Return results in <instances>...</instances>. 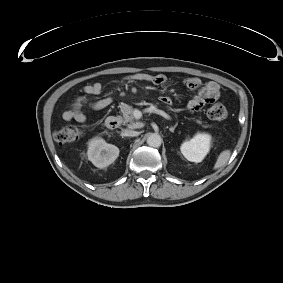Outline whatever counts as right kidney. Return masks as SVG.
Here are the masks:
<instances>
[{"label": "right kidney", "instance_id": "1", "mask_svg": "<svg viewBox=\"0 0 283 283\" xmlns=\"http://www.w3.org/2000/svg\"><path fill=\"white\" fill-rule=\"evenodd\" d=\"M88 159L98 168L112 164L119 156V149L102 138L95 137L88 142Z\"/></svg>", "mask_w": 283, "mask_h": 283}]
</instances>
